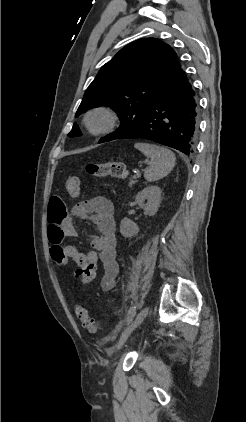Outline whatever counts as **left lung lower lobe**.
<instances>
[{
	"label": "left lung lower lobe",
	"mask_w": 246,
	"mask_h": 422,
	"mask_svg": "<svg viewBox=\"0 0 246 422\" xmlns=\"http://www.w3.org/2000/svg\"><path fill=\"white\" fill-rule=\"evenodd\" d=\"M198 132L195 92L182 67L154 97L139 122L116 139L144 138L192 157Z\"/></svg>",
	"instance_id": "0a47b994"
}]
</instances>
